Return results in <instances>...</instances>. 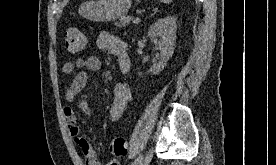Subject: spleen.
<instances>
[{"label": "spleen", "instance_id": "obj_1", "mask_svg": "<svg viewBox=\"0 0 276 165\" xmlns=\"http://www.w3.org/2000/svg\"><path fill=\"white\" fill-rule=\"evenodd\" d=\"M163 3H171L173 0H160Z\"/></svg>", "mask_w": 276, "mask_h": 165}]
</instances>
